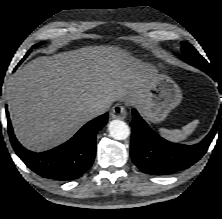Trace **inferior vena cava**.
I'll return each instance as SVG.
<instances>
[{"instance_id":"obj_1","label":"inferior vena cava","mask_w":222,"mask_h":219,"mask_svg":"<svg viewBox=\"0 0 222 219\" xmlns=\"http://www.w3.org/2000/svg\"><path fill=\"white\" fill-rule=\"evenodd\" d=\"M109 109V105H95L93 108H91L90 113L96 117L99 116L101 114H104L105 112H107Z\"/></svg>"}]
</instances>
